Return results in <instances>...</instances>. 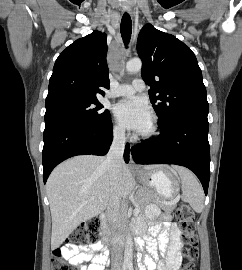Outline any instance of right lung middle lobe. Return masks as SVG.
<instances>
[{
    "instance_id": "dd1d6c3e",
    "label": "right lung middle lobe",
    "mask_w": 242,
    "mask_h": 270,
    "mask_svg": "<svg viewBox=\"0 0 242 270\" xmlns=\"http://www.w3.org/2000/svg\"><path fill=\"white\" fill-rule=\"evenodd\" d=\"M64 116H78L93 123H103L110 112L97 100H69L46 106L45 122Z\"/></svg>"
}]
</instances>
